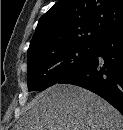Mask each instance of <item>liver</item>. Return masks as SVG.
<instances>
[{"label":"liver","instance_id":"liver-1","mask_svg":"<svg viewBox=\"0 0 123 130\" xmlns=\"http://www.w3.org/2000/svg\"><path fill=\"white\" fill-rule=\"evenodd\" d=\"M19 130H123V116L84 88L55 84L26 106Z\"/></svg>","mask_w":123,"mask_h":130}]
</instances>
